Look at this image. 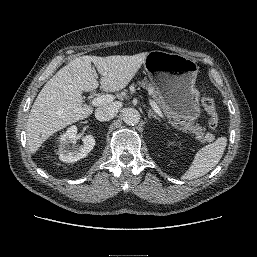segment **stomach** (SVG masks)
<instances>
[{"label": "stomach", "mask_w": 257, "mask_h": 257, "mask_svg": "<svg viewBox=\"0 0 257 257\" xmlns=\"http://www.w3.org/2000/svg\"><path fill=\"white\" fill-rule=\"evenodd\" d=\"M144 68L168 108L180 119L196 121L201 115L200 92L195 86L199 67L186 55L151 51Z\"/></svg>", "instance_id": "obj_1"}]
</instances>
